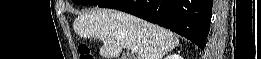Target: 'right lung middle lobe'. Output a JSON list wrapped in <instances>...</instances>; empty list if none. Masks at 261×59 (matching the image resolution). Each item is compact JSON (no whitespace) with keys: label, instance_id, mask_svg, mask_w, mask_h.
<instances>
[{"label":"right lung middle lobe","instance_id":"obj_1","mask_svg":"<svg viewBox=\"0 0 261 59\" xmlns=\"http://www.w3.org/2000/svg\"><path fill=\"white\" fill-rule=\"evenodd\" d=\"M103 0H73L77 5H96L102 2Z\"/></svg>","mask_w":261,"mask_h":59}]
</instances>
